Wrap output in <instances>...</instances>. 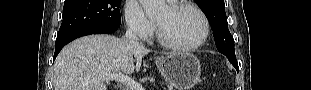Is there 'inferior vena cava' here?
Masks as SVG:
<instances>
[{"label": "inferior vena cava", "mask_w": 311, "mask_h": 90, "mask_svg": "<svg viewBox=\"0 0 311 90\" xmlns=\"http://www.w3.org/2000/svg\"><path fill=\"white\" fill-rule=\"evenodd\" d=\"M125 38L130 40L126 42V47L130 50V53L140 47V42L138 41L136 32L132 28H129L126 31ZM130 55L133 56L134 54L131 53ZM131 60L133 61L134 59L132 58ZM132 63L134 64L135 62L133 61Z\"/></svg>", "instance_id": "obj_1"}]
</instances>
